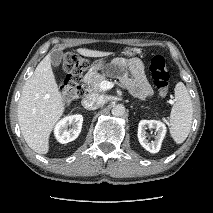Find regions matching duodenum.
<instances>
[{"label":"duodenum","instance_id":"duodenum-1","mask_svg":"<svg viewBox=\"0 0 213 213\" xmlns=\"http://www.w3.org/2000/svg\"><path fill=\"white\" fill-rule=\"evenodd\" d=\"M86 86H87V82H86V80H83L82 81V87L84 89V93H85V90H86Z\"/></svg>","mask_w":213,"mask_h":213}]
</instances>
